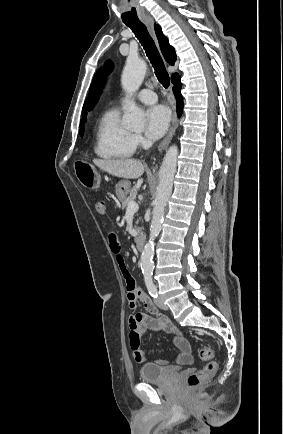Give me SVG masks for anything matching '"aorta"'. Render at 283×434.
I'll use <instances>...</instances> for the list:
<instances>
[{"instance_id": "aorta-1", "label": "aorta", "mask_w": 283, "mask_h": 434, "mask_svg": "<svg viewBox=\"0 0 283 434\" xmlns=\"http://www.w3.org/2000/svg\"><path fill=\"white\" fill-rule=\"evenodd\" d=\"M146 71L147 64L144 60L139 58L127 59L121 76V84L129 96H132L139 89ZM122 123L125 128L142 130L145 124V113L133 101H129L125 105ZM177 156L178 148L173 145L166 152L159 171V184L152 212L149 241L144 246L140 259L142 273L145 277H150L153 272L154 240L161 231L165 207L172 193Z\"/></svg>"}]
</instances>
